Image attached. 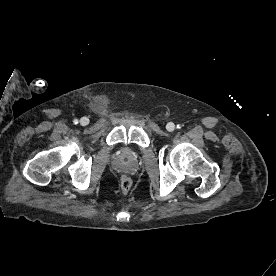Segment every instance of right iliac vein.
<instances>
[{"label":"right iliac vein","instance_id":"1","mask_svg":"<svg viewBox=\"0 0 276 276\" xmlns=\"http://www.w3.org/2000/svg\"><path fill=\"white\" fill-rule=\"evenodd\" d=\"M80 124H81L82 126L88 125V124H89V119H88L87 117L81 118V119H80Z\"/></svg>","mask_w":276,"mask_h":276}]
</instances>
